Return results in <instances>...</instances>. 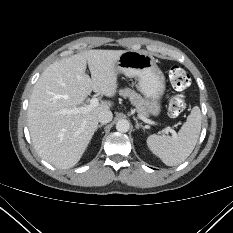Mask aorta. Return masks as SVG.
<instances>
[{
  "label": "aorta",
  "mask_w": 233,
  "mask_h": 233,
  "mask_svg": "<svg viewBox=\"0 0 233 233\" xmlns=\"http://www.w3.org/2000/svg\"><path fill=\"white\" fill-rule=\"evenodd\" d=\"M130 128V123L128 120L121 119L116 123V129L117 131L121 133H125L129 130Z\"/></svg>",
  "instance_id": "aorta-1"
}]
</instances>
